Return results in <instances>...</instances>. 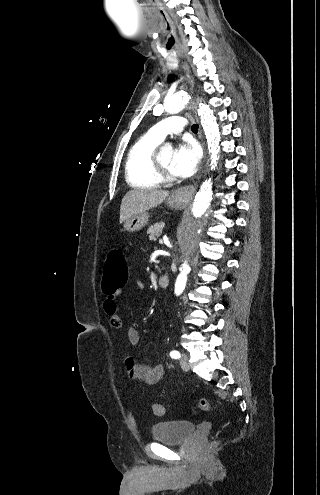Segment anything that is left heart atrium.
<instances>
[{"mask_svg": "<svg viewBox=\"0 0 320 495\" xmlns=\"http://www.w3.org/2000/svg\"><path fill=\"white\" fill-rule=\"evenodd\" d=\"M199 159L200 151L197 144L185 141L174 152L171 171L178 177H189L196 171Z\"/></svg>", "mask_w": 320, "mask_h": 495, "instance_id": "1", "label": "left heart atrium"}]
</instances>
